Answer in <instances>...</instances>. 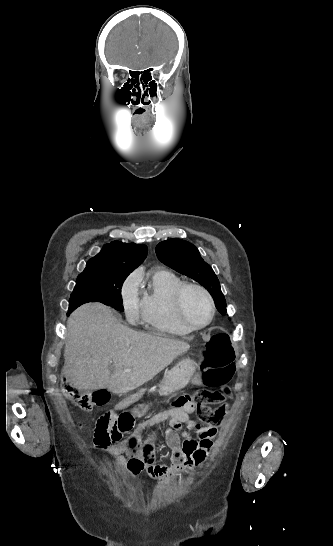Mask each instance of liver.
<instances>
[{"mask_svg":"<svg viewBox=\"0 0 333 546\" xmlns=\"http://www.w3.org/2000/svg\"><path fill=\"white\" fill-rule=\"evenodd\" d=\"M67 328L65 375L77 390L108 387L115 394H125L151 380L190 348L183 341L122 325L101 303H87L76 309ZM112 362L115 369L111 374Z\"/></svg>","mask_w":333,"mask_h":546,"instance_id":"6515ba94","label":"liver"}]
</instances>
